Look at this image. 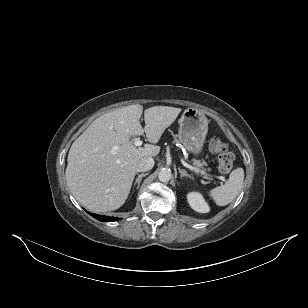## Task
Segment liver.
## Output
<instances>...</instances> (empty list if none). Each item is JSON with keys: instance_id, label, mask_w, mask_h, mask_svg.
<instances>
[{"instance_id": "liver-1", "label": "liver", "mask_w": 308, "mask_h": 308, "mask_svg": "<svg viewBox=\"0 0 308 308\" xmlns=\"http://www.w3.org/2000/svg\"><path fill=\"white\" fill-rule=\"evenodd\" d=\"M180 112L175 107H150L144 111V128L139 104L95 119L68 153L66 181L76 200L94 212L120 208L130 193L139 160L158 155L160 147L154 144ZM144 133L152 144L136 147L131 137Z\"/></svg>"}]
</instances>
